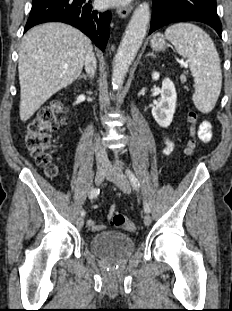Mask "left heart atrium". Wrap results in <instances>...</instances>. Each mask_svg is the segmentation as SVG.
I'll return each mask as SVG.
<instances>
[{
	"label": "left heart atrium",
	"instance_id": "obj_1",
	"mask_svg": "<svg viewBox=\"0 0 232 311\" xmlns=\"http://www.w3.org/2000/svg\"><path fill=\"white\" fill-rule=\"evenodd\" d=\"M129 1L130 0H103L104 4L107 6H121L127 4Z\"/></svg>",
	"mask_w": 232,
	"mask_h": 311
}]
</instances>
